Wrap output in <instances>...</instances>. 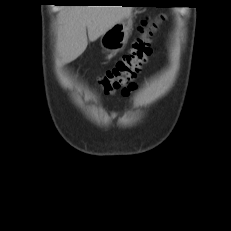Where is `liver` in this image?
<instances>
[{"label":"liver","instance_id":"obj_1","mask_svg":"<svg viewBox=\"0 0 231 231\" xmlns=\"http://www.w3.org/2000/svg\"><path fill=\"white\" fill-rule=\"evenodd\" d=\"M131 12V7L122 6L63 7L58 17L57 62L78 58L87 48L88 38L91 42L97 40L112 26L128 18Z\"/></svg>","mask_w":231,"mask_h":231}]
</instances>
